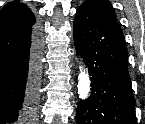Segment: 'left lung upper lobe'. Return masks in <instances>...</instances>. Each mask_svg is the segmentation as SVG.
Wrapping results in <instances>:
<instances>
[{"instance_id": "5c2ea615", "label": "left lung upper lobe", "mask_w": 145, "mask_h": 124, "mask_svg": "<svg viewBox=\"0 0 145 124\" xmlns=\"http://www.w3.org/2000/svg\"><path fill=\"white\" fill-rule=\"evenodd\" d=\"M80 7L89 8L101 16L117 22L113 7L108 0H87Z\"/></svg>"}]
</instances>
